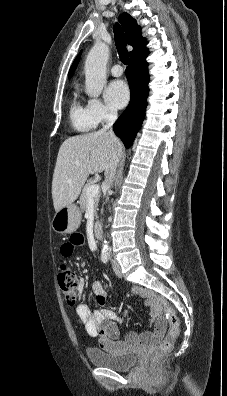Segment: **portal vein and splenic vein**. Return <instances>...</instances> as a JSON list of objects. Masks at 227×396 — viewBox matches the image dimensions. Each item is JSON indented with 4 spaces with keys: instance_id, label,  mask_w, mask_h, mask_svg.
<instances>
[{
    "instance_id": "1",
    "label": "portal vein and splenic vein",
    "mask_w": 227,
    "mask_h": 396,
    "mask_svg": "<svg viewBox=\"0 0 227 396\" xmlns=\"http://www.w3.org/2000/svg\"><path fill=\"white\" fill-rule=\"evenodd\" d=\"M86 193L89 197H94L99 193V186L97 184H92L88 186Z\"/></svg>"
}]
</instances>
